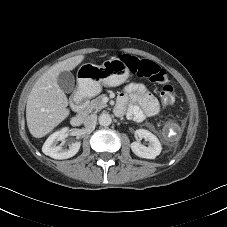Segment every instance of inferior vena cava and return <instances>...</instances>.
<instances>
[{"mask_svg": "<svg viewBox=\"0 0 227 227\" xmlns=\"http://www.w3.org/2000/svg\"><path fill=\"white\" fill-rule=\"evenodd\" d=\"M97 124V115L91 114L88 115L84 120V126L87 128H94Z\"/></svg>", "mask_w": 227, "mask_h": 227, "instance_id": "1", "label": "inferior vena cava"}]
</instances>
